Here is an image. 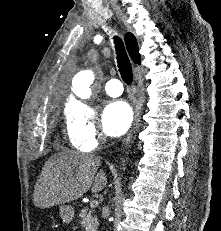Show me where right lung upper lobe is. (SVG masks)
<instances>
[{
	"mask_svg": "<svg viewBox=\"0 0 221 231\" xmlns=\"http://www.w3.org/2000/svg\"><path fill=\"white\" fill-rule=\"evenodd\" d=\"M125 44L127 46L128 53L131 57V59L137 63L140 64V53L138 49L137 41L133 34L127 33L124 37Z\"/></svg>",
	"mask_w": 221,
	"mask_h": 231,
	"instance_id": "1",
	"label": "right lung upper lobe"
}]
</instances>
